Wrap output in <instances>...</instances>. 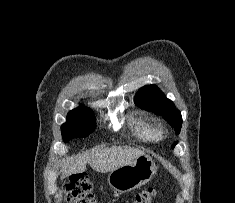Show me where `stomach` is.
Segmentation results:
<instances>
[{"mask_svg":"<svg viewBox=\"0 0 235 203\" xmlns=\"http://www.w3.org/2000/svg\"><path fill=\"white\" fill-rule=\"evenodd\" d=\"M156 171L151 157L141 155L131 163L123 165L108 175V183L120 193H126L149 182Z\"/></svg>","mask_w":235,"mask_h":203,"instance_id":"0dacf381","label":"stomach"}]
</instances>
